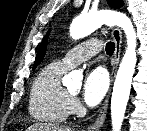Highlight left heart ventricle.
Returning a JSON list of instances; mask_svg holds the SVG:
<instances>
[{"label":"left heart ventricle","mask_w":147,"mask_h":131,"mask_svg":"<svg viewBox=\"0 0 147 131\" xmlns=\"http://www.w3.org/2000/svg\"><path fill=\"white\" fill-rule=\"evenodd\" d=\"M78 89H79V86H75V87L70 89V92L76 93L78 91Z\"/></svg>","instance_id":"obj_1"}]
</instances>
